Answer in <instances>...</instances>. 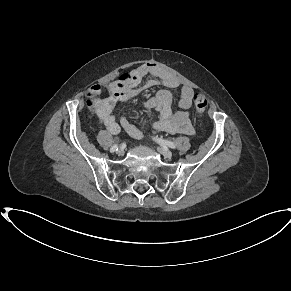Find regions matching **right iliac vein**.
I'll list each match as a JSON object with an SVG mask.
<instances>
[{"label": "right iliac vein", "instance_id": "right-iliac-vein-1", "mask_svg": "<svg viewBox=\"0 0 291 291\" xmlns=\"http://www.w3.org/2000/svg\"><path fill=\"white\" fill-rule=\"evenodd\" d=\"M117 153H118L119 155L123 154V149H122V148H119L118 151H117Z\"/></svg>", "mask_w": 291, "mask_h": 291}]
</instances>
